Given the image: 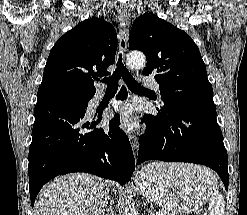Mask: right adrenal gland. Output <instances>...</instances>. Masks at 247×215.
<instances>
[{
  "label": "right adrenal gland",
  "instance_id": "right-adrenal-gland-1",
  "mask_svg": "<svg viewBox=\"0 0 247 215\" xmlns=\"http://www.w3.org/2000/svg\"><path fill=\"white\" fill-rule=\"evenodd\" d=\"M111 205H112V204H111ZM109 210H110V213H109V214H107V215H110V214L113 212V210H112V206H110Z\"/></svg>",
  "mask_w": 247,
  "mask_h": 215
}]
</instances>
